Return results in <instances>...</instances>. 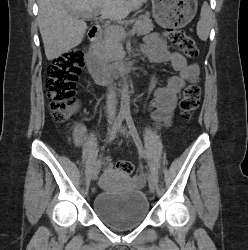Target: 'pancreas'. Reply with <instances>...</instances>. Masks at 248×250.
I'll return each instance as SVG.
<instances>
[{"label":"pancreas","mask_w":248,"mask_h":250,"mask_svg":"<svg viewBox=\"0 0 248 250\" xmlns=\"http://www.w3.org/2000/svg\"><path fill=\"white\" fill-rule=\"evenodd\" d=\"M153 28L154 25L149 13L135 19L133 29L138 35L148 34ZM123 32L124 29L121 26L104 30L103 39L98 45L99 56L103 61L113 62L124 57L122 41L125 36Z\"/></svg>","instance_id":"cf45deb5"}]
</instances>
